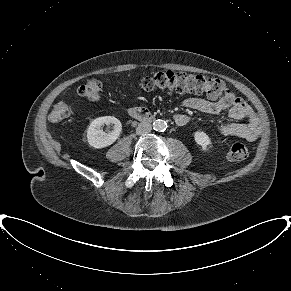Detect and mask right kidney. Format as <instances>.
<instances>
[{"mask_svg": "<svg viewBox=\"0 0 291 291\" xmlns=\"http://www.w3.org/2000/svg\"><path fill=\"white\" fill-rule=\"evenodd\" d=\"M113 124L114 130L105 133L101 126ZM122 130L121 122L113 116H104L94 119L87 129V141L95 149H101L113 144L120 136Z\"/></svg>", "mask_w": 291, "mask_h": 291, "instance_id": "obj_1", "label": "right kidney"}]
</instances>
